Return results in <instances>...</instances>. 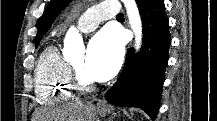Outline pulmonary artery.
<instances>
[{
    "label": "pulmonary artery",
    "mask_w": 217,
    "mask_h": 121,
    "mask_svg": "<svg viewBox=\"0 0 217 121\" xmlns=\"http://www.w3.org/2000/svg\"><path fill=\"white\" fill-rule=\"evenodd\" d=\"M119 5L115 2L105 1L85 11L77 21V28L81 32H91L103 20L115 18L119 13Z\"/></svg>",
    "instance_id": "obj_1"
}]
</instances>
